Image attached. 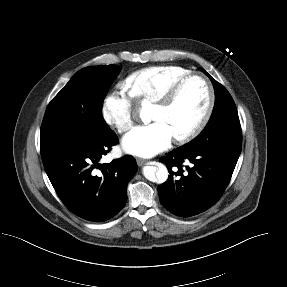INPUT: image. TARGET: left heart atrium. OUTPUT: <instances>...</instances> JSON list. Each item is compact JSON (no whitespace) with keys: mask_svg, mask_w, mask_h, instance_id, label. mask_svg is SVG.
<instances>
[{"mask_svg":"<svg viewBox=\"0 0 287 287\" xmlns=\"http://www.w3.org/2000/svg\"><path fill=\"white\" fill-rule=\"evenodd\" d=\"M173 135L161 121L133 128L122 141L123 148L134 155L151 157L167 149Z\"/></svg>","mask_w":287,"mask_h":287,"instance_id":"39dd6f15","label":"left heart atrium"}]
</instances>
